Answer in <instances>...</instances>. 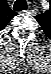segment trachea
Here are the masks:
<instances>
[{
    "label": "trachea",
    "mask_w": 51,
    "mask_h": 74,
    "mask_svg": "<svg viewBox=\"0 0 51 74\" xmlns=\"http://www.w3.org/2000/svg\"><path fill=\"white\" fill-rule=\"evenodd\" d=\"M15 11L27 10V3L25 0H16L13 6Z\"/></svg>",
    "instance_id": "3493384b"
}]
</instances>
